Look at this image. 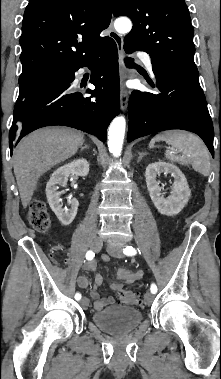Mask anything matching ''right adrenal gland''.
I'll use <instances>...</instances> for the list:
<instances>
[{"instance_id": "2a0ac1e0", "label": "right adrenal gland", "mask_w": 221, "mask_h": 379, "mask_svg": "<svg viewBox=\"0 0 221 379\" xmlns=\"http://www.w3.org/2000/svg\"><path fill=\"white\" fill-rule=\"evenodd\" d=\"M88 148H89V146L85 144L84 146L80 147V151L82 152L84 149H88Z\"/></svg>"}]
</instances>
